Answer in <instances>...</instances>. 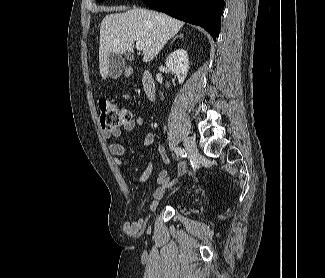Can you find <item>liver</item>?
<instances>
[{"label": "liver", "instance_id": "1", "mask_svg": "<svg viewBox=\"0 0 325 278\" xmlns=\"http://www.w3.org/2000/svg\"><path fill=\"white\" fill-rule=\"evenodd\" d=\"M108 10H125V8L117 7ZM183 25V21L164 13L140 8L106 15L100 26L101 77L105 80L109 75L108 57L111 53L120 55L126 52L132 53L134 42L142 41L143 62H150Z\"/></svg>", "mask_w": 325, "mask_h": 278}]
</instances>
